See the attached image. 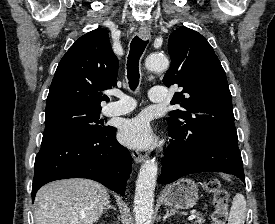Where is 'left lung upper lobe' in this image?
Returning a JSON list of instances; mask_svg holds the SVG:
<instances>
[{
	"mask_svg": "<svg viewBox=\"0 0 275 224\" xmlns=\"http://www.w3.org/2000/svg\"><path fill=\"white\" fill-rule=\"evenodd\" d=\"M168 51L171 66L163 83L183 88L171 100L182 109L169 113V129L189 138L206 134L238 139L225 71L206 38L179 27L169 37Z\"/></svg>",
	"mask_w": 275,
	"mask_h": 224,
	"instance_id": "1",
	"label": "left lung upper lobe"
}]
</instances>
